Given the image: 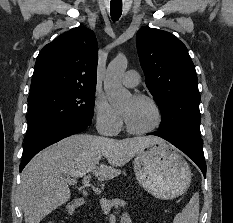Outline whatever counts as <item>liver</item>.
Segmentation results:
<instances>
[{
  "mask_svg": "<svg viewBox=\"0 0 233 223\" xmlns=\"http://www.w3.org/2000/svg\"><path fill=\"white\" fill-rule=\"evenodd\" d=\"M162 141L155 135L112 139L79 133L49 145L37 153L21 173L19 197L25 223H40L48 213L69 201L71 189L66 177L92 173L99 181H108L120 175L119 167L141 149ZM102 157L107 159L108 165L100 163Z\"/></svg>",
  "mask_w": 233,
  "mask_h": 223,
  "instance_id": "1",
  "label": "liver"
}]
</instances>
